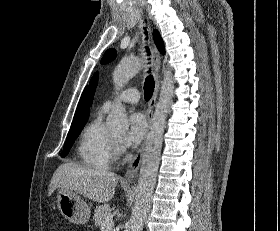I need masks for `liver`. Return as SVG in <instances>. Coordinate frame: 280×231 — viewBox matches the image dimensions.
I'll use <instances>...</instances> for the list:
<instances>
[{
    "instance_id": "1",
    "label": "liver",
    "mask_w": 280,
    "mask_h": 231,
    "mask_svg": "<svg viewBox=\"0 0 280 231\" xmlns=\"http://www.w3.org/2000/svg\"><path fill=\"white\" fill-rule=\"evenodd\" d=\"M118 175L112 171H97L79 163H61L49 185L48 193L60 187L65 191H76L98 203L110 201L115 193Z\"/></svg>"
}]
</instances>
